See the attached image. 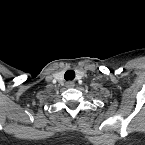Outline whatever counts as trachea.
I'll return each mask as SVG.
<instances>
[{
	"label": "trachea",
	"mask_w": 145,
	"mask_h": 145,
	"mask_svg": "<svg viewBox=\"0 0 145 145\" xmlns=\"http://www.w3.org/2000/svg\"><path fill=\"white\" fill-rule=\"evenodd\" d=\"M64 78L67 81L73 80L75 78V72H74V70H68V71H66L65 74H64Z\"/></svg>",
	"instance_id": "trachea-1"
}]
</instances>
